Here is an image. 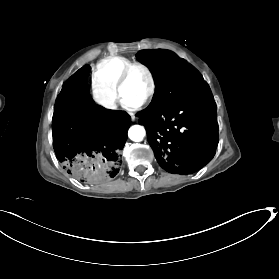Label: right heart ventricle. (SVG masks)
I'll list each match as a JSON object with an SVG mask.
<instances>
[{"label":"right heart ventricle","instance_id":"1","mask_svg":"<svg viewBox=\"0 0 279 279\" xmlns=\"http://www.w3.org/2000/svg\"><path fill=\"white\" fill-rule=\"evenodd\" d=\"M133 61L123 56H109L101 59L91 73L92 83L101 84L117 93V83L121 71Z\"/></svg>","mask_w":279,"mask_h":279}]
</instances>
